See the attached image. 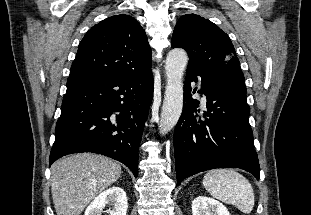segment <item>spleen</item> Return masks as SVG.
<instances>
[{"instance_id":"spleen-1","label":"spleen","mask_w":311,"mask_h":215,"mask_svg":"<svg viewBox=\"0 0 311 215\" xmlns=\"http://www.w3.org/2000/svg\"><path fill=\"white\" fill-rule=\"evenodd\" d=\"M203 186L214 198L234 205L245 214L253 210V188L243 175L233 169L208 171L203 178Z\"/></svg>"}]
</instances>
